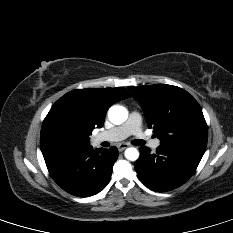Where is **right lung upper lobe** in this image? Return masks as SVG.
Instances as JSON below:
<instances>
[{
  "instance_id": "obj_1",
  "label": "right lung upper lobe",
  "mask_w": 233,
  "mask_h": 233,
  "mask_svg": "<svg viewBox=\"0 0 233 233\" xmlns=\"http://www.w3.org/2000/svg\"><path fill=\"white\" fill-rule=\"evenodd\" d=\"M130 96L121 87L76 89L66 93L51 107L47 116H59L78 126L84 133L80 148L89 147V135L101 128L108 108Z\"/></svg>"
}]
</instances>
